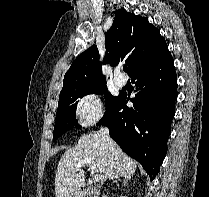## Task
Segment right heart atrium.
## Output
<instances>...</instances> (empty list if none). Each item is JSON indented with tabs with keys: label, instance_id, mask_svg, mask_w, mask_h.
Segmentation results:
<instances>
[{
	"label": "right heart atrium",
	"instance_id": "right-heart-atrium-1",
	"mask_svg": "<svg viewBox=\"0 0 209 197\" xmlns=\"http://www.w3.org/2000/svg\"><path fill=\"white\" fill-rule=\"evenodd\" d=\"M102 113V99L95 93H89L82 96L75 109L77 119L84 126L95 123L102 116Z\"/></svg>",
	"mask_w": 209,
	"mask_h": 197
}]
</instances>
